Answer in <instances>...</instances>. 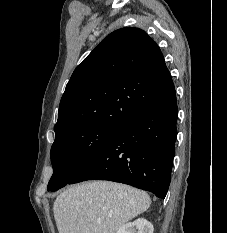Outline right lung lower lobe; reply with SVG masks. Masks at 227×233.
Returning a JSON list of instances; mask_svg holds the SVG:
<instances>
[{"instance_id": "obj_1", "label": "right lung lower lobe", "mask_w": 227, "mask_h": 233, "mask_svg": "<svg viewBox=\"0 0 227 233\" xmlns=\"http://www.w3.org/2000/svg\"><path fill=\"white\" fill-rule=\"evenodd\" d=\"M177 118L174 90L160 103L122 124L68 184L109 180L164 199L171 180Z\"/></svg>"}]
</instances>
